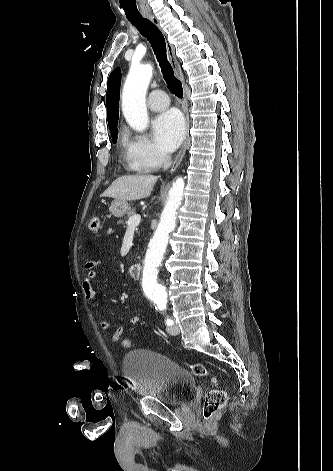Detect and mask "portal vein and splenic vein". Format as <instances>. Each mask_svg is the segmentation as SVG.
Returning a JSON list of instances; mask_svg holds the SVG:
<instances>
[{
  "mask_svg": "<svg viewBox=\"0 0 333 471\" xmlns=\"http://www.w3.org/2000/svg\"><path fill=\"white\" fill-rule=\"evenodd\" d=\"M140 221H141V216L139 214H135L128 219L127 224L129 226H138Z\"/></svg>",
  "mask_w": 333,
  "mask_h": 471,
  "instance_id": "1",
  "label": "portal vein and splenic vein"
}]
</instances>
